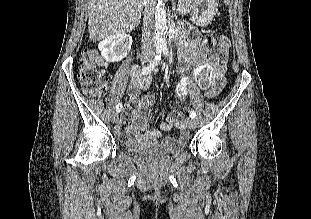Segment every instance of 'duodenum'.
I'll use <instances>...</instances> for the list:
<instances>
[{
    "mask_svg": "<svg viewBox=\"0 0 311 219\" xmlns=\"http://www.w3.org/2000/svg\"><path fill=\"white\" fill-rule=\"evenodd\" d=\"M184 30V26L183 25H178V24H175V23H171L170 24V37H171V40H174L175 37H176V31H182Z\"/></svg>",
    "mask_w": 311,
    "mask_h": 219,
    "instance_id": "1",
    "label": "duodenum"
}]
</instances>
